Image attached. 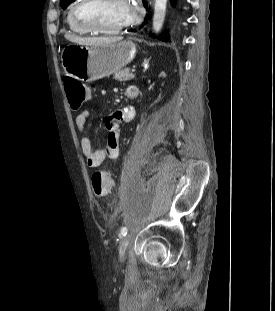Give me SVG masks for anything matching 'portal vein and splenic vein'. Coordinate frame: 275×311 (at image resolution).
Returning <instances> with one entry per match:
<instances>
[{"label":"portal vein and splenic vein","instance_id":"1","mask_svg":"<svg viewBox=\"0 0 275 311\" xmlns=\"http://www.w3.org/2000/svg\"><path fill=\"white\" fill-rule=\"evenodd\" d=\"M135 71H136L135 68H133V69H132V72H135Z\"/></svg>","mask_w":275,"mask_h":311}]
</instances>
